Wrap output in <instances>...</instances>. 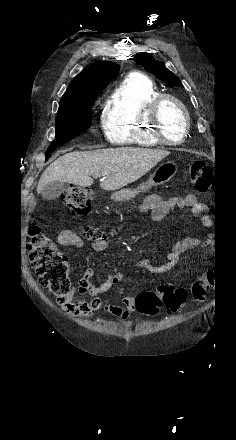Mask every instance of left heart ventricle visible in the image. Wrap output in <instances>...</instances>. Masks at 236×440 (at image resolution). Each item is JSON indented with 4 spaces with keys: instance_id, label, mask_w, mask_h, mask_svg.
I'll return each mask as SVG.
<instances>
[{
    "instance_id": "1",
    "label": "left heart ventricle",
    "mask_w": 236,
    "mask_h": 440,
    "mask_svg": "<svg viewBox=\"0 0 236 440\" xmlns=\"http://www.w3.org/2000/svg\"><path fill=\"white\" fill-rule=\"evenodd\" d=\"M161 120L168 138L173 140L181 138L184 130V117L175 103L171 101L164 103L161 109Z\"/></svg>"
}]
</instances>
